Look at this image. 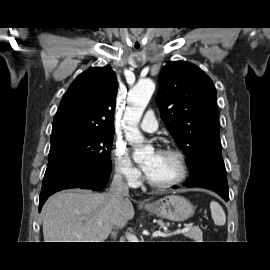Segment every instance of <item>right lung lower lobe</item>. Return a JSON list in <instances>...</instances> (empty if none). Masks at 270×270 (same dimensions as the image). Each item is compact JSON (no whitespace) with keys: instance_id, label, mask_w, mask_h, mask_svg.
I'll list each match as a JSON object with an SVG mask.
<instances>
[{"instance_id":"1","label":"right lung lower lobe","mask_w":270,"mask_h":270,"mask_svg":"<svg viewBox=\"0 0 270 270\" xmlns=\"http://www.w3.org/2000/svg\"><path fill=\"white\" fill-rule=\"evenodd\" d=\"M110 172L92 171L83 161H73L46 172L40 194L39 211L47 198L57 191L78 187L102 189L107 184Z\"/></svg>"}]
</instances>
